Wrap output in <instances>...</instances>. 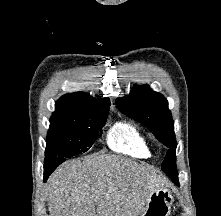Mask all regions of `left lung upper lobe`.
Returning <instances> with one entry per match:
<instances>
[{
    "label": "left lung upper lobe",
    "mask_w": 221,
    "mask_h": 216,
    "mask_svg": "<svg viewBox=\"0 0 221 216\" xmlns=\"http://www.w3.org/2000/svg\"><path fill=\"white\" fill-rule=\"evenodd\" d=\"M116 105L122 113L147 126L160 142L169 147L161 168L173 182L178 181L174 121L166 98L148 85L134 86L128 96L116 99Z\"/></svg>",
    "instance_id": "left-lung-upper-lobe-1"
}]
</instances>
